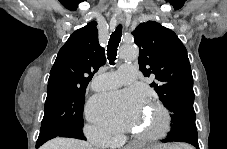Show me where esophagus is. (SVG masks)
<instances>
[{
  "label": "esophagus",
  "mask_w": 227,
  "mask_h": 149,
  "mask_svg": "<svg viewBox=\"0 0 227 149\" xmlns=\"http://www.w3.org/2000/svg\"><path fill=\"white\" fill-rule=\"evenodd\" d=\"M118 20H119V21H123V19H122V18H118Z\"/></svg>",
  "instance_id": "1"
}]
</instances>
